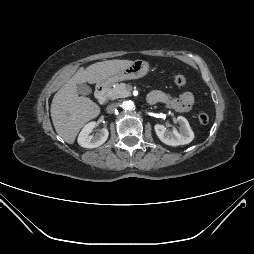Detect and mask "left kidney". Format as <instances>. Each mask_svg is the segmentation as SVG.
<instances>
[{"label":"left kidney","mask_w":254,"mask_h":254,"mask_svg":"<svg viewBox=\"0 0 254 254\" xmlns=\"http://www.w3.org/2000/svg\"><path fill=\"white\" fill-rule=\"evenodd\" d=\"M180 125L179 131L168 130L164 125L156 124L154 126L158 138L165 144L170 146H179L190 143L194 139V133L187 119L183 116L177 117Z\"/></svg>","instance_id":"5707ae66"}]
</instances>
